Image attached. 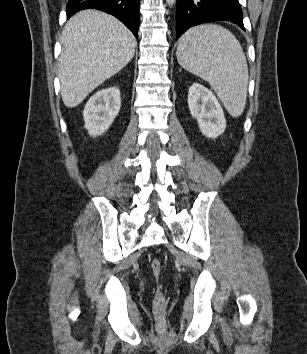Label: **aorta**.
Returning <instances> with one entry per match:
<instances>
[{"label": "aorta", "mask_w": 307, "mask_h": 354, "mask_svg": "<svg viewBox=\"0 0 307 354\" xmlns=\"http://www.w3.org/2000/svg\"><path fill=\"white\" fill-rule=\"evenodd\" d=\"M166 2L169 6L172 7L176 3V0H166Z\"/></svg>", "instance_id": "obj_1"}]
</instances>
